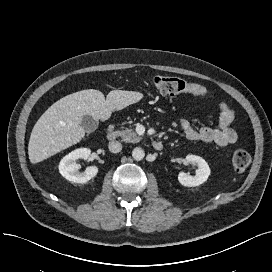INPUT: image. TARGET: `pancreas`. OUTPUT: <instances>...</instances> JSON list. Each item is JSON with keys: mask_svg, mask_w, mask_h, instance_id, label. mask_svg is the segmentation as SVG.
I'll use <instances>...</instances> for the list:
<instances>
[{"mask_svg": "<svg viewBox=\"0 0 272 272\" xmlns=\"http://www.w3.org/2000/svg\"><path fill=\"white\" fill-rule=\"evenodd\" d=\"M118 134L124 142L137 143L142 139V137L137 135V133H135L131 128L119 131Z\"/></svg>", "mask_w": 272, "mask_h": 272, "instance_id": "pancreas-1", "label": "pancreas"}]
</instances>
